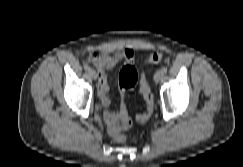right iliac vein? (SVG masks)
Masks as SVG:
<instances>
[{
  "label": "right iliac vein",
  "instance_id": "right-iliac-vein-1",
  "mask_svg": "<svg viewBox=\"0 0 243 167\" xmlns=\"http://www.w3.org/2000/svg\"><path fill=\"white\" fill-rule=\"evenodd\" d=\"M89 75L92 79H96L97 78V73L96 71H94L93 69L89 70Z\"/></svg>",
  "mask_w": 243,
  "mask_h": 167
}]
</instances>
